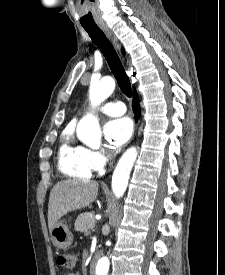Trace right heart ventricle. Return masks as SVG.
<instances>
[{
  "label": "right heart ventricle",
  "mask_w": 225,
  "mask_h": 275,
  "mask_svg": "<svg viewBox=\"0 0 225 275\" xmlns=\"http://www.w3.org/2000/svg\"><path fill=\"white\" fill-rule=\"evenodd\" d=\"M65 139L59 150L58 165L59 169L67 176L75 178H90L93 170L87 163L83 148L72 146Z\"/></svg>",
  "instance_id": "right-heart-ventricle-1"
}]
</instances>
